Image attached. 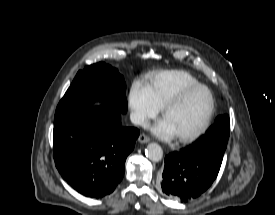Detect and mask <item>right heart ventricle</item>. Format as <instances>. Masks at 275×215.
Segmentation results:
<instances>
[{
    "mask_svg": "<svg viewBox=\"0 0 275 215\" xmlns=\"http://www.w3.org/2000/svg\"><path fill=\"white\" fill-rule=\"evenodd\" d=\"M197 83L194 76L183 70L156 71L146 77V87L159 109L181 89Z\"/></svg>",
    "mask_w": 275,
    "mask_h": 215,
    "instance_id": "1",
    "label": "right heart ventricle"
}]
</instances>
